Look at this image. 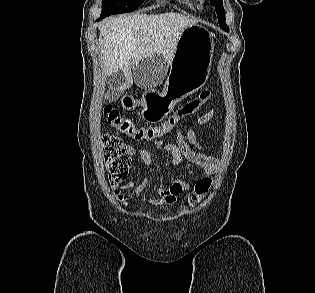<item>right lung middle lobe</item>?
I'll use <instances>...</instances> for the list:
<instances>
[{
	"mask_svg": "<svg viewBox=\"0 0 315 293\" xmlns=\"http://www.w3.org/2000/svg\"><path fill=\"white\" fill-rule=\"evenodd\" d=\"M144 0H102L101 16L134 11Z\"/></svg>",
	"mask_w": 315,
	"mask_h": 293,
	"instance_id": "1",
	"label": "right lung middle lobe"
}]
</instances>
